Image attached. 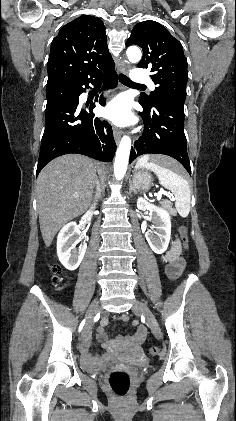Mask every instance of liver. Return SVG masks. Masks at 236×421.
<instances>
[{
	"mask_svg": "<svg viewBox=\"0 0 236 421\" xmlns=\"http://www.w3.org/2000/svg\"><path fill=\"white\" fill-rule=\"evenodd\" d=\"M154 162L169 164L173 158L151 154ZM105 162H95L82 154H62L46 164L36 180L40 231L46 247L56 233L87 211L98 184L96 170ZM73 194H79L74 198Z\"/></svg>",
	"mask_w": 236,
	"mask_h": 421,
	"instance_id": "6515ba94",
	"label": "liver"
}]
</instances>
